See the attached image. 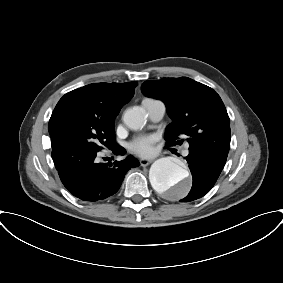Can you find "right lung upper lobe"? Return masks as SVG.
Instances as JSON below:
<instances>
[{"instance_id":"1","label":"right lung upper lobe","mask_w":283,"mask_h":283,"mask_svg":"<svg viewBox=\"0 0 283 283\" xmlns=\"http://www.w3.org/2000/svg\"><path fill=\"white\" fill-rule=\"evenodd\" d=\"M137 82L94 83L65 94L55 108L74 103L94 114L105 124H114L121 108L134 95Z\"/></svg>"}]
</instances>
